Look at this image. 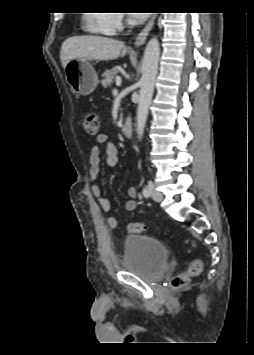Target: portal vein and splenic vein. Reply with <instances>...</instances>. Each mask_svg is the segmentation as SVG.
Wrapping results in <instances>:
<instances>
[{"instance_id": "18ae733b", "label": "portal vein and splenic vein", "mask_w": 254, "mask_h": 355, "mask_svg": "<svg viewBox=\"0 0 254 355\" xmlns=\"http://www.w3.org/2000/svg\"><path fill=\"white\" fill-rule=\"evenodd\" d=\"M121 83H122L121 77H120V76H117V77H116V85H117V86H120Z\"/></svg>"}]
</instances>
